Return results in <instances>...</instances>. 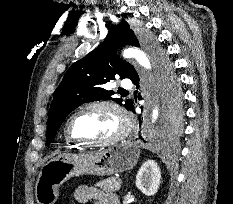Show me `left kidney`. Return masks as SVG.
I'll return each instance as SVG.
<instances>
[{"label":"left kidney","mask_w":233,"mask_h":204,"mask_svg":"<svg viewBox=\"0 0 233 204\" xmlns=\"http://www.w3.org/2000/svg\"><path fill=\"white\" fill-rule=\"evenodd\" d=\"M136 187L146 196L157 193L161 183V171L153 160L146 161L136 176Z\"/></svg>","instance_id":"obj_1"}]
</instances>
